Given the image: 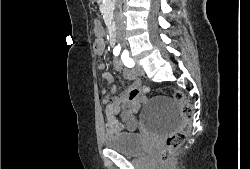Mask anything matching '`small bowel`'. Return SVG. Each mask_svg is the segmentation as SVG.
I'll list each match as a JSON object with an SVG mask.
<instances>
[{
	"label": "small bowel",
	"mask_w": 250,
	"mask_h": 169,
	"mask_svg": "<svg viewBox=\"0 0 250 169\" xmlns=\"http://www.w3.org/2000/svg\"><path fill=\"white\" fill-rule=\"evenodd\" d=\"M94 32L98 37L94 43V50L96 53H102L105 50V43L101 39L103 30L99 23H95ZM114 69L117 71H123V76L126 80L131 82L130 87L119 95L107 94L105 100L108 102V106L105 113V126L108 135H113L122 131H135L138 127L137 112L140 108V102L138 100H130L128 98V92L139 88L141 85L140 79H138L133 72L129 70H124L122 62L119 59H115L113 62ZM100 69L105 68L104 63L98 65ZM104 78L107 83L112 84L113 78L110 74L106 73ZM116 91V86L112 84L111 92ZM113 103H120L121 111L120 115H112L111 111L114 109L112 107ZM121 117V121L117 117Z\"/></svg>",
	"instance_id": "obj_1"
}]
</instances>
